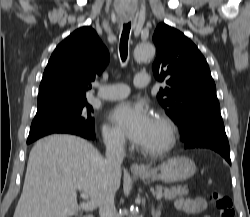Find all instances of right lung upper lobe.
<instances>
[{
	"label": "right lung upper lobe",
	"instance_id": "obj_1",
	"mask_svg": "<svg viewBox=\"0 0 250 217\" xmlns=\"http://www.w3.org/2000/svg\"><path fill=\"white\" fill-rule=\"evenodd\" d=\"M109 61V53L95 30L82 27L54 50L39 87L37 110L86 99L91 82Z\"/></svg>",
	"mask_w": 250,
	"mask_h": 217
}]
</instances>
